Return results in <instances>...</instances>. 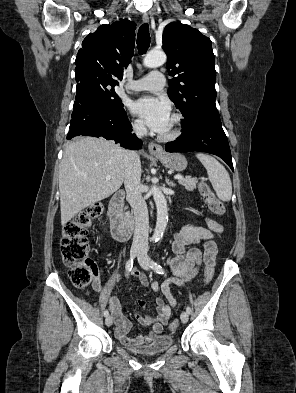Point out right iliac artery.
Returning <instances> with one entry per match:
<instances>
[{
    "instance_id": "obj_1",
    "label": "right iliac artery",
    "mask_w": 296,
    "mask_h": 393,
    "mask_svg": "<svg viewBox=\"0 0 296 393\" xmlns=\"http://www.w3.org/2000/svg\"><path fill=\"white\" fill-rule=\"evenodd\" d=\"M133 267V259H129L125 265L126 272L129 274V272L132 270ZM109 315V312L107 310L104 311V316L107 317Z\"/></svg>"
}]
</instances>
